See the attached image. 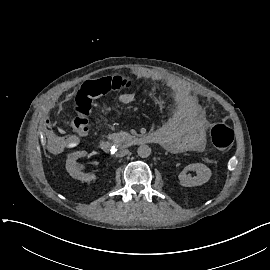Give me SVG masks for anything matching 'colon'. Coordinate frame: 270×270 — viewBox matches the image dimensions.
<instances>
[{
  "label": "colon",
  "instance_id": "1",
  "mask_svg": "<svg viewBox=\"0 0 270 270\" xmlns=\"http://www.w3.org/2000/svg\"><path fill=\"white\" fill-rule=\"evenodd\" d=\"M134 86L128 78L110 76L96 82H86L74 96L72 107L75 112L71 125L80 135L87 134L89 117L93 112L94 101L108 91L123 90ZM211 141L219 150L228 149L234 141V132L225 124H215L210 131Z\"/></svg>",
  "mask_w": 270,
  "mask_h": 270
}]
</instances>
